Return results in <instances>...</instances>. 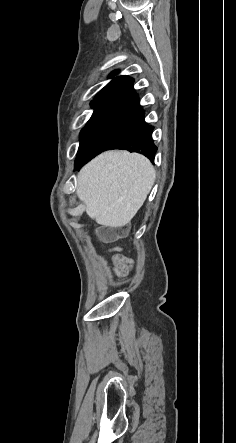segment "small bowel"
Masks as SVG:
<instances>
[{
    "mask_svg": "<svg viewBox=\"0 0 236 443\" xmlns=\"http://www.w3.org/2000/svg\"><path fill=\"white\" fill-rule=\"evenodd\" d=\"M113 269L118 276H122L129 270L130 262L122 255H116L113 258Z\"/></svg>",
    "mask_w": 236,
    "mask_h": 443,
    "instance_id": "c3829d8e",
    "label": "small bowel"
}]
</instances>
